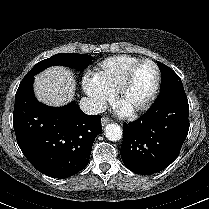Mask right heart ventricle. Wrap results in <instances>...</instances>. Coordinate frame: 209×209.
<instances>
[{
	"label": "right heart ventricle",
	"instance_id": "e07e8e85",
	"mask_svg": "<svg viewBox=\"0 0 209 209\" xmlns=\"http://www.w3.org/2000/svg\"><path fill=\"white\" fill-rule=\"evenodd\" d=\"M138 57L118 55L105 59L92 73L93 79L107 92L114 95L128 68Z\"/></svg>",
	"mask_w": 209,
	"mask_h": 209
}]
</instances>
